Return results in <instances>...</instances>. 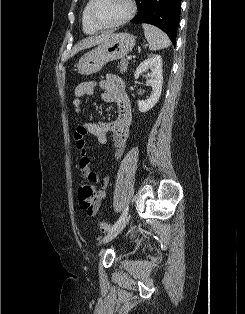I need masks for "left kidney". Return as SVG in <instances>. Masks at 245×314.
<instances>
[{
	"mask_svg": "<svg viewBox=\"0 0 245 314\" xmlns=\"http://www.w3.org/2000/svg\"><path fill=\"white\" fill-rule=\"evenodd\" d=\"M149 69L151 70V72L147 74V76L149 77L147 83L152 87V91L148 99H146L145 101H138L139 111L142 113H145L152 109L158 102L161 95L163 74L162 58L160 55H153L144 60L135 71V79H137L139 75L143 72H147Z\"/></svg>",
	"mask_w": 245,
	"mask_h": 314,
	"instance_id": "1",
	"label": "left kidney"
}]
</instances>
